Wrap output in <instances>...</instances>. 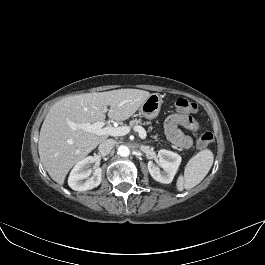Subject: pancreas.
<instances>
[{"instance_id":"1","label":"pancreas","mask_w":265,"mask_h":265,"mask_svg":"<svg viewBox=\"0 0 265 265\" xmlns=\"http://www.w3.org/2000/svg\"><path fill=\"white\" fill-rule=\"evenodd\" d=\"M141 123H142V121L140 119H134V120L130 121V127H133L134 125L138 126Z\"/></svg>"}]
</instances>
